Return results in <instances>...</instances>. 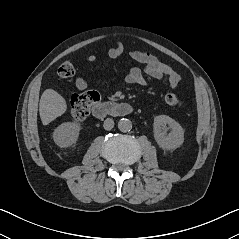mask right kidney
Instances as JSON below:
<instances>
[{
  "label": "right kidney",
  "instance_id": "1",
  "mask_svg": "<svg viewBox=\"0 0 239 239\" xmlns=\"http://www.w3.org/2000/svg\"><path fill=\"white\" fill-rule=\"evenodd\" d=\"M80 126L74 122L63 123L53 132L54 142L60 147H68L78 140Z\"/></svg>",
  "mask_w": 239,
  "mask_h": 239
}]
</instances>
